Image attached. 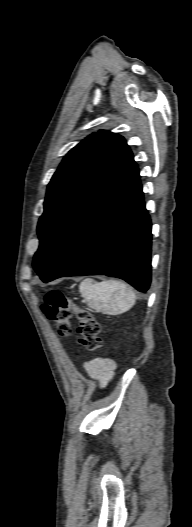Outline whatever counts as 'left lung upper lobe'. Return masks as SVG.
Returning a JSON list of instances; mask_svg holds the SVG:
<instances>
[{"mask_svg":"<svg viewBox=\"0 0 192 527\" xmlns=\"http://www.w3.org/2000/svg\"><path fill=\"white\" fill-rule=\"evenodd\" d=\"M135 165L125 139L100 130L64 157L54 173L39 219L34 270L44 276L114 185Z\"/></svg>","mask_w":192,"mask_h":527,"instance_id":"obj_1","label":"left lung upper lobe"}]
</instances>
